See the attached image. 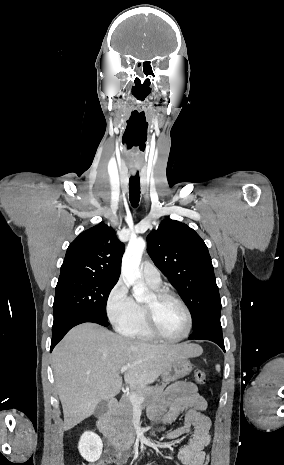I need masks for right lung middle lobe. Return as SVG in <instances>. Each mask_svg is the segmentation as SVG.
<instances>
[{
    "label": "right lung middle lobe",
    "instance_id": "right-lung-middle-lobe-1",
    "mask_svg": "<svg viewBox=\"0 0 284 465\" xmlns=\"http://www.w3.org/2000/svg\"><path fill=\"white\" fill-rule=\"evenodd\" d=\"M117 281L93 277L59 278L54 298V323L75 314H92L107 320L106 303Z\"/></svg>",
    "mask_w": 284,
    "mask_h": 465
}]
</instances>
